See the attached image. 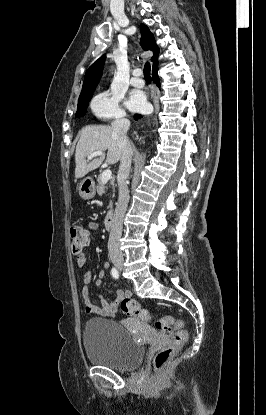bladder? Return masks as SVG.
Here are the masks:
<instances>
[{
	"instance_id": "31cf9c89",
	"label": "bladder",
	"mask_w": 266,
	"mask_h": 415,
	"mask_svg": "<svg viewBox=\"0 0 266 415\" xmlns=\"http://www.w3.org/2000/svg\"><path fill=\"white\" fill-rule=\"evenodd\" d=\"M83 346L91 363L118 371L136 368L145 352L123 325L101 318L85 323Z\"/></svg>"
}]
</instances>
